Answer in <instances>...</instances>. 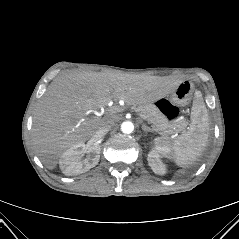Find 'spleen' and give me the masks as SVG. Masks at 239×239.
Here are the masks:
<instances>
[{"label": "spleen", "mask_w": 239, "mask_h": 239, "mask_svg": "<svg viewBox=\"0 0 239 239\" xmlns=\"http://www.w3.org/2000/svg\"><path fill=\"white\" fill-rule=\"evenodd\" d=\"M208 131L207 109L201 95L196 93L188 130L175 138H155L154 147L163 157L174 161L180 167H185L193 164L202 154L208 141Z\"/></svg>", "instance_id": "3e777b00"}]
</instances>
